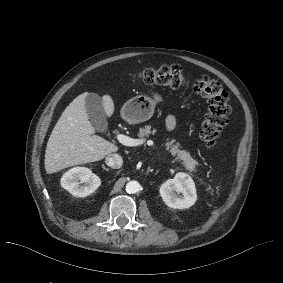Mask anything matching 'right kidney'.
Returning <instances> with one entry per match:
<instances>
[{"label":"right kidney","instance_id":"right-kidney-1","mask_svg":"<svg viewBox=\"0 0 283 283\" xmlns=\"http://www.w3.org/2000/svg\"><path fill=\"white\" fill-rule=\"evenodd\" d=\"M100 184V178L86 167H74L61 178V186L76 197L89 196Z\"/></svg>","mask_w":283,"mask_h":283}]
</instances>
